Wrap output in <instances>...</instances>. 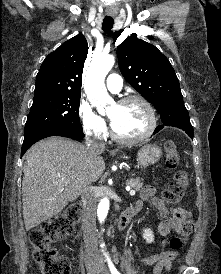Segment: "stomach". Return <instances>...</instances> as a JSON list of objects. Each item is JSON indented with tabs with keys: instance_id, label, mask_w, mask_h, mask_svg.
<instances>
[{
	"instance_id": "1",
	"label": "stomach",
	"mask_w": 221,
	"mask_h": 274,
	"mask_svg": "<svg viewBox=\"0 0 221 274\" xmlns=\"http://www.w3.org/2000/svg\"><path fill=\"white\" fill-rule=\"evenodd\" d=\"M162 152L156 144H147L141 147L137 154V161L142 167L153 165L159 161Z\"/></svg>"
}]
</instances>
